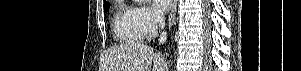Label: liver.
Instances as JSON below:
<instances>
[{
	"mask_svg": "<svg viewBox=\"0 0 301 71\" xmlns=\"http://www.w3.org/2000/svg\"><path fill=\"white\" fill-rule=\"evenodd\" d=\"M102 71H165L164 57L140 43L112 48L102 57Z\"/></svg>",
	"mask_w": 301,
	"mask_h": 71,
	"instance_id": "1",
	"label": "liver"
}]
</instances>
